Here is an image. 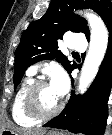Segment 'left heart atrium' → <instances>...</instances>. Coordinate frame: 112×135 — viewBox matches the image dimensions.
<instances>
[{"label":"left heart atrium","mask_w":112,"mask_h":135,"mask_svg":"<svg viewBox=\"0 0 112 135\" xmlns=\"http://www.w3.org/2000/svg\"><path fill=\"white\" fill-rule=\"evenodd\" d=\"M50 86L58 97H62L68 89V80L62 71H57L52 75Z\"/></svg>","instance_id":"obj_1"}]
</instances>
